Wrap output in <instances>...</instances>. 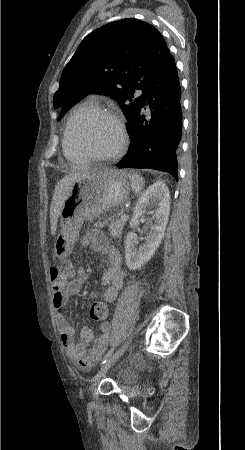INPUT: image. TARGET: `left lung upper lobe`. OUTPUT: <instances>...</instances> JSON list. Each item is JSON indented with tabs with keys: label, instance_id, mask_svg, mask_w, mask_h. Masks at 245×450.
Here are the masks:
<instances>
[{
	"label": "left lung upper lobe",
	"instance_id": "left-lung-upper-lobe-1",
	"mask_svg": "<svg viewBox=\"0 0 245 450\" xmlns=\"http://www.w3.org/2000/svg\"><path fill=\"white\" fill-rule=\"evenodd\" d=\"M171 56L162 35L146 22L126 18L106 24L83 39L65 66L54 108L62 107L61 118L82 97L108 94L119 100L128 131L148 87ZM139 89L142 95L134 99Z\"/></svg>",
	"mask_w": 245,
	"mask_h": 450
}]
</instances>
